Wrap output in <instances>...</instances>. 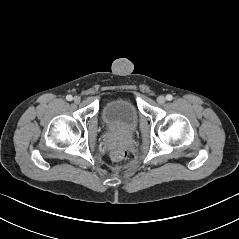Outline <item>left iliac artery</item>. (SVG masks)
<instances>
[{"label": "left iliac artery", "mask_w": 239, "mask_h": 239, "mask_svg": "<svg viewBox=\"0 0 239 239\" xmlns=\"http://www.w3.org/2000/svg\"><path fill=\"white\" fill-rule=\"evenodd\" d=\"M166 99L168 101H171L173 99V96L171 94L166 95Z\"/></svg>", "instance_id": "left-iliac-artery-1"}]
</instances>
